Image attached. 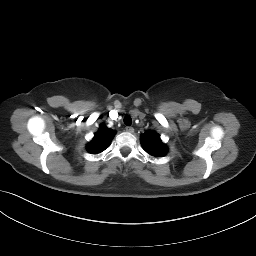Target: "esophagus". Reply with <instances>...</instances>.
I'll return each mask as SVG.
<instances>
[{
    "label": "esophagus",
    "mask_w": 256,
    "mask_h": 256,
    "mask_svg": "<svg viewBox=\"0 0 256 256\" xmlns=\"http://www.w3.org/2000/svg\"><path fill=\"white\" fill-rule=\"evenodd\" d=\"M125 129L129 133H133L134 132V128L133 127L127 126Z\"/></svg>",
    "instance_id": "esophagus-1"
}]
</instances>
